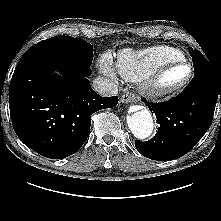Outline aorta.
Masks as SVG:
<instances>
[{
    "label": "aorta",
    "instance_id": "aorta-1",
    "mask_svg": "<svg viewBox=\"0 0 221 221\" xmlns=\"http://www.w3.org/2000/svg\"><path fill=\"white\" fill-rule=\"evenodd\" d=\"M127 124L137 139L148 138L153 132V118L148 109H141L127 116Z\"/></svg>",
    "mask_w": 221,
    "mask_h": 221
}]
</instances>
